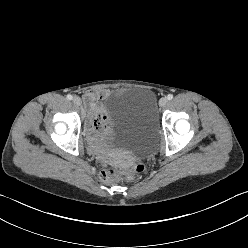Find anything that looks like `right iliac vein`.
<instances>
[{
    "label": "right iliac vein",
    "mask_w": 248,
    "mask_h": 248,
    "mask_svg": "<svg viewBox=\"0 0 248 248\" xmlns=\"http://www.w3.org/2000/svg\"><path fill=\"white\" fill-rule=\"evenodd\" d=\"M72 102L77 105V106H80L82 101L79 97L75 96L73 99H72Z\"/></svg>",
    "instance_id": "right-iliac-vein-1"
}]
</instances>
